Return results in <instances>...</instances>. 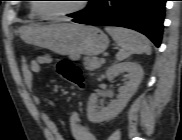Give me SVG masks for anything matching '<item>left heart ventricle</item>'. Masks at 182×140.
Instances as JSON below:
<instances>
[{"instance_id": "left-heart-ventricle-1", "label": "left heart ventricle", "mask_w": 182, "mask_h": 140, "mask_svg": "<svg viewBox=\"0 0 182 140\" xmlns=\"http://www.w3.org/2000/svg\"><path fill=\"white\" fill-rule=\"evenodd\" d=\"M79 5L72 0H48L38 4L39 10L44 14H54L71 10Z\"/></svg>"}]
</instances>
